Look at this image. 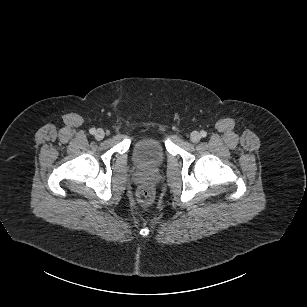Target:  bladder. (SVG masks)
<instances>
[{"label":"bladder","instance_id":"31cf9c89","mask_svg":"<svg viewBox=\"0 0 307 307\" xmlns=\"http://www.w3.org/2000/svg\"><path fill=\"white\" fill-rule=\"evenodd\" d=\"M132 157L139 167L154 170L164 163L166 148L159 138L145 137L136 142Z\"/></svg>","mask_w":307,"mask_h":307}]
</instances>
